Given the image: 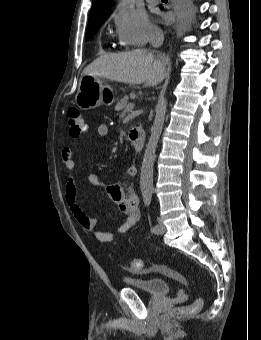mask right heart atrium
<instances>
[{
  "label": "right heart atrium",
  "instance_id": "obj_1",
  "mask_svg": "<svg viewBox=\"0 0 261 340\" xmlns=\"http://www.w3.org/2000/svg\"><path fill=\"white\" fill-rule=\"evenodd\" d=\"M113 19L119 39L126 45L144 46L160 34L158 27L140 10L118 9Z\"/></svg>",
  "mask_w": 261,
  "mask_h": 340
}]
</instances>
